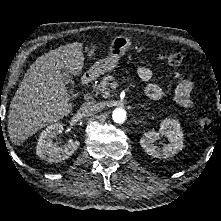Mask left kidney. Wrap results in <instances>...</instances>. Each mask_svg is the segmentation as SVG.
Returning a JSON list of instances; mask_svg holds the SVG:
<instances>
[{
	"label": "left kidney",
	"mask_w": 221,
	"mask_h": 221,
	"mask_svg": "<svg viewBox=\"0 0 221 221\" xmlns=\"http://www.w3.org/2000/svg\"><path fill=\"white\" fill-rule=\"evenodd\" d=\"M165 136L168 144L162 148L155 144V141ZM141 147L152 157L159 159L169 158L177 154L184 147L183 133L177 120L164 119L160 124V131H149L140 139Z\"/></svg>",
	"instance_id": "left-kidney-1"
}]
</instances>
